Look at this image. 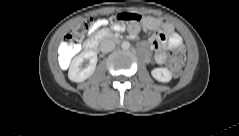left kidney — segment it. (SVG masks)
Instances as JSON below:
<instances>
[{
    "instance_id": "obj_1",
    "label": "left kidney",
    "mask_w": 239,
    "mask_h": 136,
    "mask_svg": "<svg viewBox=\"0 0 239 136\" xmlns=\"http://www.w3.org/2000/svg\"><path fill=\"white\" fill-rule=\"evenodd\" d=\"M151 75L159 82L167 83L172 79V74L167 68H155L151 71Z\"/></svg>"
}]
</instances>
